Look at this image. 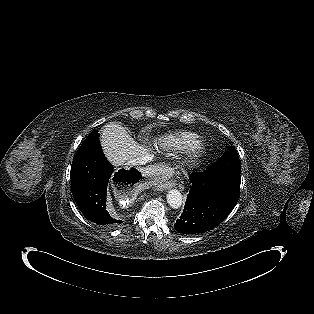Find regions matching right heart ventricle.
Instances as JSON below:
<instances>
[{"instance_id": "right-heart-ventricle-1", "label": "right heart ventricle", "mask_w": 314, "mask_h": 314, "mask_svg": "<svg viewBox=\"0 0 314 314\" xmlns=\"http://www.w3.org/2000/svg\"><path fill=\"white\" fill-rule=\"evenodd\" d=\"M196 138V134L187 131H176L164 135L159 139L160 145L172 149V150H182L187 147V145Z\"/></svg>"}]
</instances>
